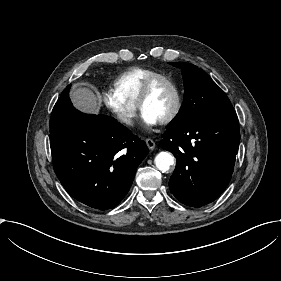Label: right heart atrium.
Masks as SVG:
<instances>
[{"mask_svg":"<svg viewBox=\"0 0 281 281\" xmlns=\"http://www.w3.org/2000/svg\"><path fill=\"white\" fill-rule=\"evenodd\" d=\"M102 99L117 120L127 127H132L137 122V107L125 101L117 91L108 88L102 92Z\"/></svg>","mask_w":281,"mask_h":281,"instance_id":"1","label":"right heart atrium"}]
</instances>
